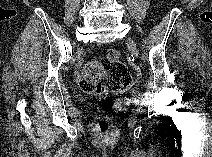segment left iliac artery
<instances>
[{"label": "left iliac artery", "mask_w": 212, "mask_h": 157, "mask_svg": "<svg viewBox=\"0 0 212 157\" xmlns=\"http://www.w3.org/2000/svg\"><path fill=\"white\" fill-rule=\"evenodd\" d=\"M142 58H143V60H144V62H145V60H146L145 55H143Z\"/></svg>", "instance_id": "obj_1"}]
</instances>
